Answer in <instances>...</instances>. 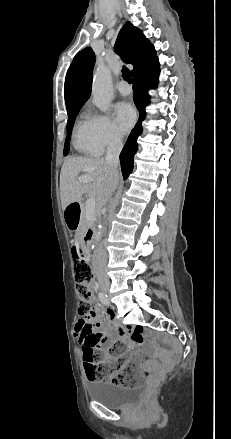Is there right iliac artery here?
<instances>
[{
  "label": "right iliac artery",
  "mask_w": 231,
  "mask_h": 439,
  "mask_svg": "<svg viewBox=\"0 0 231 439\" xmlns=\"http://www.w3.org/2000/svg\"><path fill=\"white\" fill-rule=\"evenodd\" d=\"M99 299L104 305H109L108 297L105 293L100 292L99 293Z\"/></svg>",
  "instance_id": "82829eb1"
}]
</instances>
